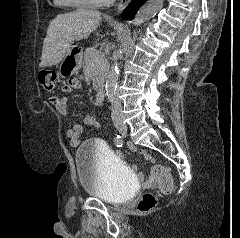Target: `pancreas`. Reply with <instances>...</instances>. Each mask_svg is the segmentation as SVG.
I'll return each mask as SVG.
<instances>
[{
    "label": "pancreas",
    "instance_id": "pancreas-1",
    "mask_svg": "<svg viewBox=\"0 0 240 238\" xmlns=\"http://www.w3.org/2000/svg\"><path fill=\"white\" fill-rule=\"evenodd\" d=\"M101 62H96V59ZM109 63L104 54L96 50L94 47H89L84 52V71H90L89 79L93 82V89L98 90L104 82L108 71Z\"/></svg>",
    "mask_w": 240,
    "mask_h": 238
}]
</instances>
